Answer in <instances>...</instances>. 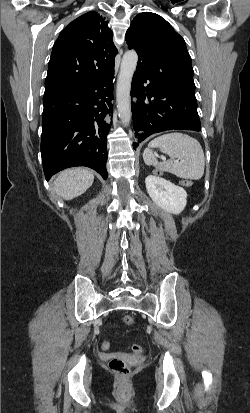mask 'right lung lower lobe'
<instances>
[{"mask_svg": "<svg viewBox=\"0 0 250 413\" xmlns=\"http://www.w3.org/2000/svg\"><path fill=\"white\" fill-rule=\"evenodd\" d=\"M113 75L85 87L44 95L41 153L46 180L68 167L87 166L107 179V134Z\"/></svg>", "mask_w": 250, "mask_h": 413, "instance_id": "98d812e1", "label": "right lung lower lobe"}]
</instances>
